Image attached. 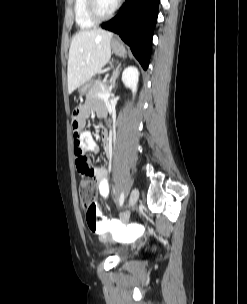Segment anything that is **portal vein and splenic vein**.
I'll list each match as a JSON object with an SVG mask.
<instances>
[{"mask_svg":"<svg viewBox=\"0 0 247 304\" xmlns=\"http://www.w3.org/2000/svg\"><path fill=\"white\" fill-rule=\"evenodd\" d=\"M109 95H110V92H107V93H97L98 97H107Z\"/></svg>","mask_w":247,"mask_h":304,"instance_id":"18ae733b","label":"portal vein and splenic vein"}]
</instances>
